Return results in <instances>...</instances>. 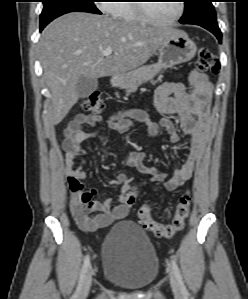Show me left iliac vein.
<instances>
[{
  "label": "left iliac vein",
  "mask_w": 248,
  "mask_h": 299,
  "mask_svg": "<svg viewBox=\"0 0 248 299\" xmlns=\"http://www.w3.org/2000/svg\"><path fill=\"white\" fill-rule=\"evenodd\" d=\"M169 280H170V285H171V288L174 292V294L176 296H180L181 295V288H180V284L178 282V279L175 275V273L173 271H169Z\"/></svg>",
  "instance_id": "4c4485c4"
}]
</instances>
